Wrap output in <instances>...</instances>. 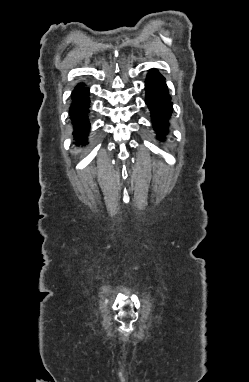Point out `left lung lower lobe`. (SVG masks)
Returning <instances> with one entry per match:
<instances>
[{"label": "left lung lower lobe", "instance_id": "left-lung-lower-lobe-1", "mask_svg": "<svg viewBox=\"0 0 249 382\" xmlns=\"http://www.w3.org/2000/svg\"><path fill=\"white\" fill-rule=\"evenodd\" d=\"M146 104L152 115L154 130L159 139H164L168 132V120L172 113L171 97L164 77L155 69H151L147 75Z\"/></svg>", "mask_w": 249, "mask_h": 382}]
</instances>
